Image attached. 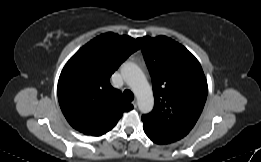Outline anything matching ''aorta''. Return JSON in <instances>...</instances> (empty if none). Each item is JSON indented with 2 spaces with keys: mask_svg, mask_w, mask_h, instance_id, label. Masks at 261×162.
Instances as JSON below:
<instances>
[{
  "mask_svg": "<svg viewBox=\"0 0 261 162\" xmlns=\"http://www.w3.org/2000/svg\"><path fill=\"white\" fill-rule=\"evenodd\" d=\"M122 75L137 97L139 110L149 113L153 109L154 97L143 71L135 63L126 62L122 66Z\"/></svg>",
  "mask_w": 261,
  "mask_h": 162,
  "instance_id": "obj_1",
  "label": "aorta"
}]
</instances>
